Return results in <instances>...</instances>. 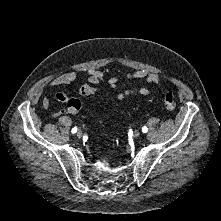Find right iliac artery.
<instances>
[{
    "mask_svg": "<svg viewBox=\"0 0 221 221\" xmlns=\"http://www.w3.org/2000/svg\"><path fill=\"white\" fill-rule=\"evenodd\" d=\"M72 133H76L77 132V127H74L72 130H71Z\"/></svg>",
    "mask_w": 221,
    "mask_h": 221,
    "instance_id": "obj_1",
    "label": "right iliac artery"
}]
</instances>
